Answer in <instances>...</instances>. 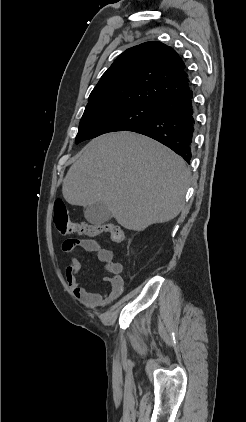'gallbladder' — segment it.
Returning a JSON list of instances; mask_svg holds the SVG:
<instances>
[{
  "mask_svg": "<svg viewBox=\"0 0 246 422\" xmlns=\"http://www.w3.org/2000/svg\"><path fill=\"white\" fill-rule=\"evenodd\" d=\"M84 215L88 222L97 225L108 222L112 217L110 210L102 202L87 206Z\"/></svg>",
  "mask_w": 246,
  "mask_h": 422,
  "instance_id": "1",
  "label": "gallbladder"
}]
</instances>
